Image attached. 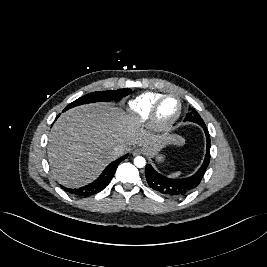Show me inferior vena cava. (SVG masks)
Masks as SVG:
<instances>
[{"label":"inferior vena cava","mask_w":267,"mask_h":267,"mask_svg":"<svg viewBox=\"0 0 267 267\" xmlns=\"http://www.w3.org/2000/svg\"><path fill=\"white\" fill-rule=\"evenodd\" d=\"M124 152H125V148H124L123 146H121V145L116 146V147L114 148V154H115L116 156H120V155L124 154Z\"/></svg>","instance_id":"1"}]
</instances>
